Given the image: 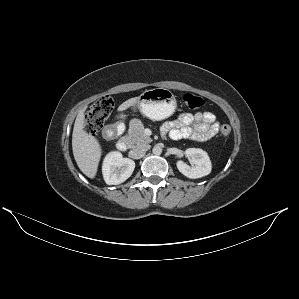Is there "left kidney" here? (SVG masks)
<instances>
[{
	"mask_svg": "<svg viewBox=\"0 0 299 299\" xmlns=\"http://www.w3.org/2000/svg\"><path fill=\"white\" fill-rule=\"evenodd\" d=\"M187 157L190 158L193 166L190 167L183 161H177L178 170L186 177L197 179L207 176L212 169L210 158L206 151L199 148H188L185 151Z\"/></svg>",
	"mask_w": 299,
	"mask_h": 299,
	"instance_id": "left-kidney-1",
	"label": "left kidney"
}]
</instances>
